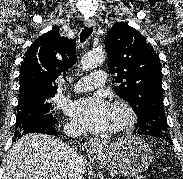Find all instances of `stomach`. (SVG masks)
I'll list each match as a JSON object with an SVG mask.
<instances>
[{"instance_id": "obj_1", "label": "stomach", "mask_w": 183, "mask_h": 179, "mask_svg": "<svg viewBox=\"0 0 183 179\" xmlns=\"http://www.w3.org/2000/svg\"><path fill=\"white\" fill-rule=\"evenodd\" d=\"M149 145L139 137L120 138L109 145H102L94 158L104 168L123 176H135L145 171L152 161Z\"/></svg>"}]
</instances>
